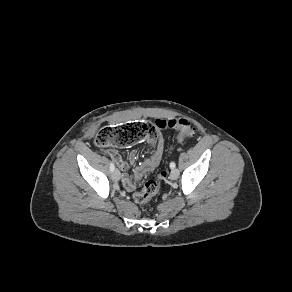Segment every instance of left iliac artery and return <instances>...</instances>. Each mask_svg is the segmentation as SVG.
<instances>
[{
	"label": "left iliac artery",
	"instance_id": "1",
	"mask_svg": "<svg viewBox=\"0 0 292 292\" xmlns=\"http://www.w3.org/2000/svg\"><path fill=\"white\" fill-rule=\"evenodd\" d=\"M175 166H176L175 162L172 161V162L170 163V168H171V169H174Z\"/></svg>",
	"mask_w": 292,
	"mask_h": 292
}]
</instances>
